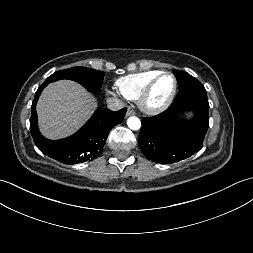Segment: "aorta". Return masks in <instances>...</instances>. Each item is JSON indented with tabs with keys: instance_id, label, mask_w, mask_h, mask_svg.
<instances>
[{
	"instance_id": "obj_1",
	"label": "aorta",
	"mask_w": 253,
	"mask_h": 253,
	"mask_svg": "<svg viewBox=\"0 0 253 253\" xmlns=\"http://www.w3.org/2000/svg\"><path fill=\"white\" fill-rule=\"evenodd\" d=\"M127 125L132 130H138L141 127V121L138 117L131 116L127 120Z\"/></svg>"
}]
</instances>
